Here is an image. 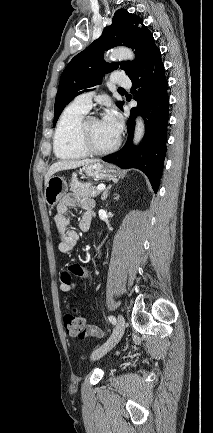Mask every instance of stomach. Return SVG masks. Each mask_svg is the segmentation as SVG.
<instances>
[{
    "mask_svg": "<svg viewBox=\"0 0 213 433\" xmlns=\"http://www.w3.org/2000/svg\"><path fill=\"white\" fill-rule=\"evenodd\" d=\"M83 171L94 179H111L116 176V171L112 166L99 161L85 165ZM68 184L64 177H51L44 190V200L49 206H55L66 194Z\"/></svg>",
    "mask_w": 213,
    "mask_h": 433,
    "instance_id": "0dacf381",
    "label": "stomach"
}]
</instances>
